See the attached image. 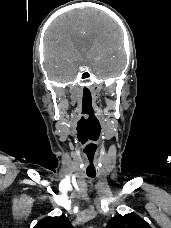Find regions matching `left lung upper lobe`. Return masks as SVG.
Masks as SVG:
<instances>
[{"label":"left lung upper lobe","mask_w":171,"mask_h":228,"mask_svg":"<svg viewBox=\"0 0 171 228\" xmlns=\"http://www.w3.org/2000/svg\"><path fill=\"white\" fill-rule=\"evenodd\" d=\"M107 228H151L150 225L136 214L117 215L113 217Z\"/></svg>","instance_id":"left-lung-upper-lobe-1"}]
</instances>
